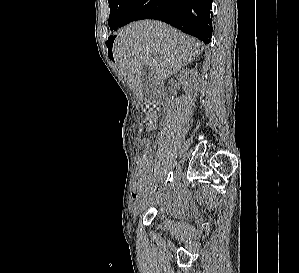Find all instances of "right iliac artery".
I'll list each match as a JSON object with an SVG mask.
<instances>
[{
	"label": "right iliac artery",
	"instance_id": "obj_1",
	"mask_svg": "<svg viewBox=\"0 0 299 273\" xmlns=\"http://www.w3.org/2000/svg\"><path fill=\"white\" fill-rule=\"evenodd\" d=\"M172 179H173V171H170L169 174H168L166 183L172 181Z\"/></svg>",
	"mask_w": 299,
	"mask_h": 273
}]
</instances>
